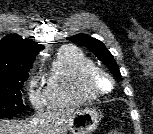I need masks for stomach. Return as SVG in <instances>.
<instances>
[{"label": "stomach", "mask_w": 153, "mask_h": 134, "mask_svg": "<svg viewBox=\"0 0 153 134\" xmlns=\"http://www.w3.org/2000/svg\"><path fill=\"white\" fill-rule=\"evenodd\" d=\"M100 114L92 108L77 110L69 126L71 134H91L98 126Z\"/></svg>", "instance_id": "1"}]
</instances>
